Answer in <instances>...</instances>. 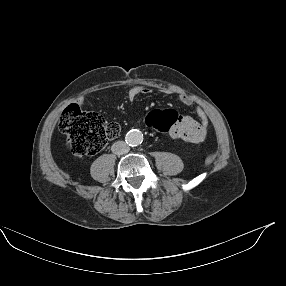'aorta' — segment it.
<instances>
[{"mask_svg":"<svg viewBox=\"0 0 286 286\" xmlns=\"http://www.w3.org/2000/svg\"><path fill=\"white\" fill-rule=\"evenodd\" d=\"M125 139L130 146H137L142 143L143 134L139 130L132 129L126 134Z\"/></svg>","mask_w":286,"mask_h":286,"instance_id":"aorta-1","label":"aorta"}]
</instances>
